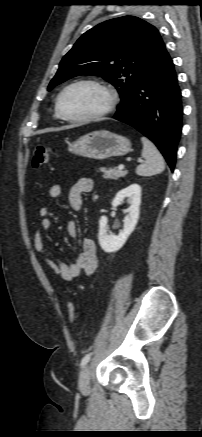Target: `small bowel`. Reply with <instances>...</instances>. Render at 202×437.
<instances>
[{"instance_id": "small-bowel-1", "label": "small bowel", "mask_w": 202, "mask_h": 437, "mask_svg": "<svg viewBox=\"0 0 202 437\" xmlns=\"http://www.w3.org/2000/svg\"><path fill=\"white\" fill-rule=\"evenodd\" d=\"M93 189V182L90 178L78 179L68 191V204L70 208L79 212L83 208V196ZM63 188L59 184H54L49 188L50 198L56 199L62 195ZM41 221L34 234L33 243L36 251L42 255L43 262L50 268L53 273L65 280L71 281L82 273L87 275L92 274L98 266V256L96 243L92 239H84L81 245V251L75 256L70 263H65L55 258L46 248L43 232L52 227L50 218L51 211L48 207H41L39 210ZM67 232L71 239L77 236V226L74 220H70L67 224Z\"/></svg>"}]
</instances>
